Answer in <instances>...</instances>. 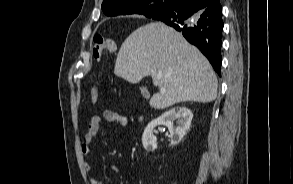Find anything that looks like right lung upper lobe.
<instances>
[{
  "label": "right lung upper lobe",
  "mask_w": 293,
  "mask_h": 184,
  "mask_svg": "<svg viewBox=\"0 0 293 184\" xmlns=\"http://www.w3.org/2000/svg\"><path fill=\"white\" fill-rule=\"evenodd\" d=\"M164 1L166 3L164 9L173 5L176 0H103L102 10L107 16H118L126 14H143L148 18L150 15L147 13L151 6L157 2ZM204 3V7L219 0H199ZM163 10V9H162ZM161 10V11H162Z\"/></svg>",
  "instance_id": "right-lung-upper-lobe-1"
}]
</instances>
